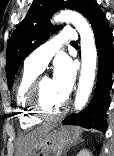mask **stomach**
<instances>
[{"mask_svg": "<svg viewBox=\"0 0 114 156\" xmlns=\"http://www.w3.org/2000/svg\"><path fill=\"white\" fill-rule=\"evenodd\" d=\"M80 135L81 129L78 127L54 124L28 156H61L66 147L76 142Z\"/></svg>", "mask_w": 114, "mask_h": 156, "instance_id": "stomach-1", "label": "stomach"}]
</instances>
